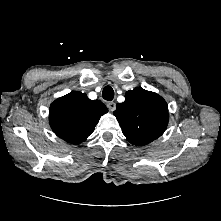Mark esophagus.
<instances>
[{"label": "esophagus", "mask_w": 221, "mask_h": 221, "mask_svg": "<svg viewBox=\"0 0 221 221\" xmlns=\"http://www.w3.org/2000/svg\"><path fill=\"white\" fill-rule=\"evenodd\" d=\"M107 107L109 108L110 111L113 112L116 108V104L114 102L110 101L107 103Z\"/></svg>", "instance_id": "1"}]
</instances>
